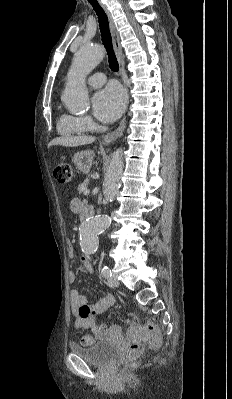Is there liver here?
Segmentation results:
<instances>
[{
  "mask_svg": "<svg viewBox=\"0 0 232 399\" xmlns=\"http://www.w3.org/2000/svg\"><path fill=\"white\" fill-rule=\"evenodd\" d=\"M95 138L92 136H66V138H54L52 142H49L48 148L50 146H69V148H74V146H85V144H91L94 142Z\"/></svg>",
  "mask_w": 232,
  "mask_h": 399,
  "instance_id": "liver-1",
  "label": "liver"
}]
</instances>
